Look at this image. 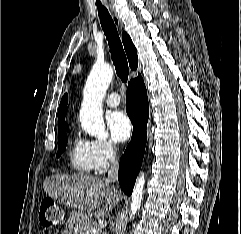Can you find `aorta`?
Instances as JSON below:
<instances>
[{
	"instance_id": "obj_1",
	"label": "aorta",
	"mask_w": 241,
	"mask_h": 234,
	"mask_svg": "<svg viewBox=\"0 0 241 234\" xmlns=\"http://www.w3.org/2000/svg\"><path fill=\"white\" fill-rule=\"evenodd\" d=\"M113 77V68L109 64H95L87 78L80 110L82 128L90 135L106 139L108 133L102 112V101ZM145 175L141 173L136 180L131 196L130 218H134L143 199Z\"/></svg>"
}]
</instances>
